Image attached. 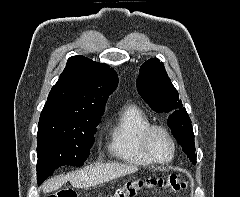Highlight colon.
Returning a JSON list of instances; mask_svg holds the SVG:
<instances>
[{"mask_svg":"<svg viewBox=\"0 0 240 197\" xmlns=\"http://www.w3.org/2000/svg\"><path fill=\"white\" fill-rule=\"evenodd\" d=\"M158 187L169 192H178L186 188V183L179 177L171 175L163 178H146L131 180L118 187L108 197H135L143 187ZM48 197H77L71 189L60 190Z\"/></svg>","mask_w":240,"mask_h":197,"instance_id":"5ec220e1","label":"colon"}]
</instances>
